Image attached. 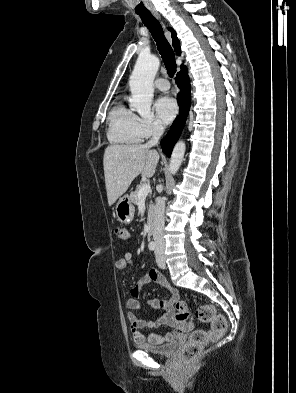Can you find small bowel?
Wrapping results in <instances>:
<instances>
[{
    "label": "small bowel",
    "instance_id": "obj_1",
    "mask_svg": "<svg viewBox=\"0 0 296 393\" xmlns=\"http://www.w3.org/2000/svg\"><path fill=\"white\" fill-rule=\"evenodd\" d=\"M133 265V256L131 253H126L122 258L116 261V269L118 271H125ZM149 281H154L158 285L169 289L173 295L170 298L165 299H153L147 300V303L153 311H157L160 308L164 309V312L153 319L145 320L139 317L137 311L140 310L141 304L139 301L140 291L143 284ZM179 300V294L176 289L171 287L165 277V275L158 269L150 270L145 277L136 285H134L129 292L126 306L129 309L128 319L131 327L132 338L135 343H149L152 345L162 344L167 341H172L175 338L187 333L191 330L192 324L188 322H178L173 318V307ZM161 325H169L173 327L172 332H167L162 335L156 333L143 334L142 329L144 328H157Z\"/></svg>",
    "mask_w": 296,
    "mask_h": 393
}]
</instances>
